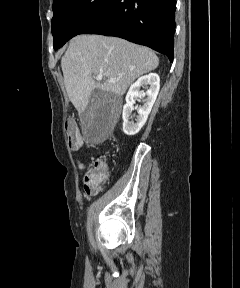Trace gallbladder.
Instances as JSON below:
<instances>
[{"instance_id": "gallbladder-1", "label": "gallbladder", "mask_w": 240, "mask_h": 288, "mask_svg": "<svg viewBox=\"0 0 240 288\" xmlns=\"http://www.w3.org/2000/svg\"><path fill=\"white\" fill-rule=\"evenodd\" d=\"M116 102L110 94L95 90L93 91L86 110L82 113V121L86 126L91 120L99 118L108 120L114 110Z\"/></svg>"}]
</instances>
